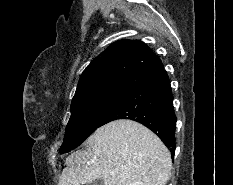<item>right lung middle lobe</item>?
Instances as JSON below:
<instances>
[{"label": "right lung middle lobe", "instance_id": "dd1d6c3e", "mask_svg": "<svg viewBox=\"0 0 233 185\" xmlns=\"http://www.w3.org/2000/svg\"><path fill=\"white\" fill-rule=\"evenodd\" d=\"M124 88L110 87L89 91L73 98L71 117L66 127L61 153L79 146L99 126L112 109L129 93Z\"/></svg>", "mask_w": 233, "mask_h": 185}]
</instances>
